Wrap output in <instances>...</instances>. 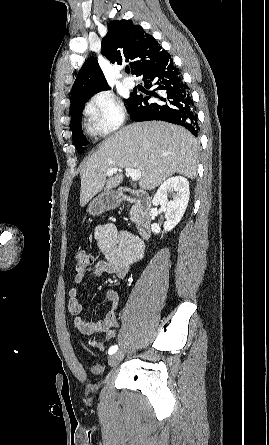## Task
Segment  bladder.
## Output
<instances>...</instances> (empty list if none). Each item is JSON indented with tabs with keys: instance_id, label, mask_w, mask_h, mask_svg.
<instances>
[{
	"instance_id": "obj_1",
	"label": "bladder",
	"mask_w": 269,
	"mask_h": 445,
	"mask_svg": "<svg viewBox=\"0 0 269 445\" xmlns=\"http://www.w3.org/2000/svg\"><path fill=\"white\" fill-rule=\"evenodd\" d=\"M88 369L95 376H100L104 373V367L100 364H91Z\"/></svg>"
}]
</instances>
